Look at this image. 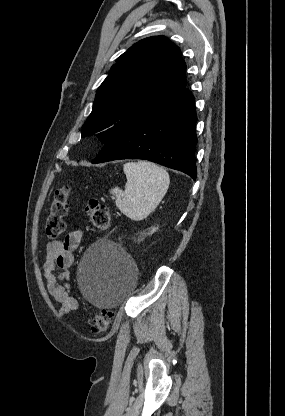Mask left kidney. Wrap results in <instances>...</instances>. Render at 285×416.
I'll return each instance as SVG.
<instances>
[{
    "instance_id": "1",
    "label": "left kidney",
    "mask_w": 285,
    "mask_h": 416,
    "mask_svg": "<svg viewBox=\"0 0 285 416\" xmlns=\"http://www.w3.org/2000/svg\"><path fill=\"white\" fill-rule=\"evenodd\" d=\"M156 230H158V228H152L151 234H153V232H156Z\"/></svg>"
}]
</instances>
